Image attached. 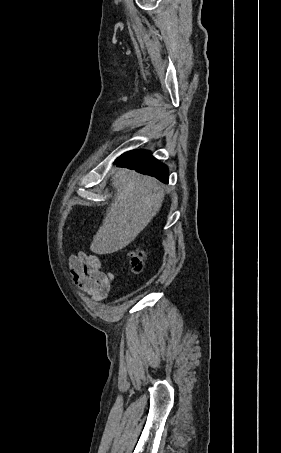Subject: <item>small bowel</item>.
<instances>
[{"label": "small bowel", "mask_w": 281, "mask_h": 453, "mask_svg": "<svg viewBox=\"0 0 281 453\" xmlns=\"http://www.w3.org/2000/svg\"><path fill=\"white\" fill-rule=\"evenodd\" d=\"M70 272L74 281L90 296L97 300H106L115 286L112 272L101 269L98 256L76 254L69 261Z\"/></svg>", "instance_id": "1"}]
</instances>
